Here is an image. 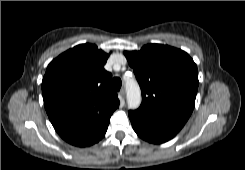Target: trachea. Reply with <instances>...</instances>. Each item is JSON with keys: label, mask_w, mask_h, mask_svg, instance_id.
<instances>
[{"label": "trachea", "mask_w": 245, "mask_h": 170, "mask_svg": "<svg viewBox=\"0 0 245 170\" xmlns=\"http://www.w3.org/2000/svg\"><path fill=\"white\" fill-rule=\"evenodd\" d=\"M111 85L114 90L119 91L122 85V81L119 77H115L112 79Z\"/></svg>", "instance_id": "3493384b"}]
</instances>
